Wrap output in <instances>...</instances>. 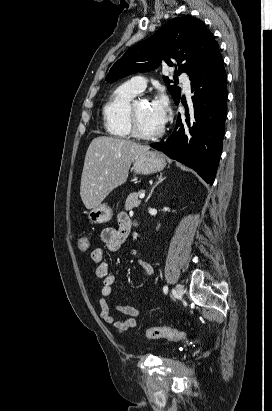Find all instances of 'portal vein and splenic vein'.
Here are the masks:
<instances>
[{"instance_id":"1","label":"portal vein and splenic vein","mask_w":272,"mask_h":411,"mask_svg":"<svg viewBox=\"0 0 272 411\" xmlns=\"http://www.w3.org/2000/svg\"><path fill=\"white\" fill-rule=\"evenodd\" d=\"M144 197H145V193L142 192V193L139 195V198H140V199H143Z\"/></svg>"}]
</instances>
